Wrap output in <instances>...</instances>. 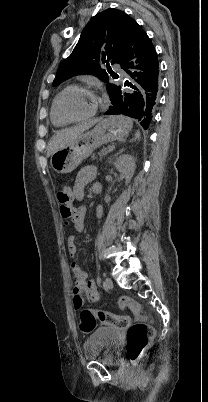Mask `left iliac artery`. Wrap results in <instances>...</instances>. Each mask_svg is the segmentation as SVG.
Listing matches in <instances>:
<instances>
[{"mask_svg":"<svg viewBox=\"0 0 208 402\" xmlns=\"http://www.w3.org/2000/svg\"><path fill=\"white\" fill-rule=\"evenodd\" d=\"M97 283L100 285V283H101V278L100 277L97 278Z\"/></svg>","mask_w":208,"mask_h":402,"instance_id":"obj_1","label":"left iliac artery"}]
</instances>
